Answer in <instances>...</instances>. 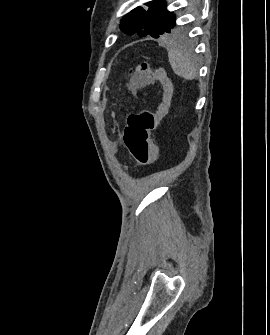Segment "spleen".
I'll return each instance as SVG.
<instances>
[{"instance_id":"1","label":"spleen","mask_w":270,"mask_h":335,"mask_svg":"<svg viewBox=\"0 0 270 335\" xmlns=\"http://www.w3.org/2000/svg\"><path fill=\"white\" fill-rule=\"evenodd\" d=\"M168 58L170 66L177 76H181L185 80H194L197 68L191 62L187 52L183 50L182 44L173 42L171 48L168 50Z\"/></svg>"}]
</instances>
